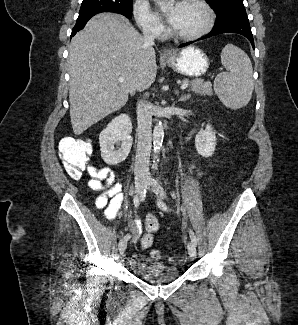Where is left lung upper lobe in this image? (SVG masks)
Wrapping results in <instances>:
<instances>
[{"label": "left lung upper lobe", "mask_w": 298, "mask_h": 325, "mask_svg": "<svg viewBox=\"0 0 298 325\" xmlns=\"http://www.w3.org/2000/svg\"><path fill=\"white\" fill-rule=\"evenodd\" d=\"M216 12V20L228 12L244 8L243 0H208Z\"/></svg>", "instance_id": "1"}]
</instances>
